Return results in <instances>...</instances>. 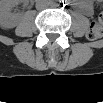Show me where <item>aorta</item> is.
Masks as SVG:
<instances>
[{"label": "aorta", "mask_w": 103, "mask_h": 103, "mask_svg": "<svg viewBox=\"0 0 103 103\" xmlns=\"http://www.w3.org/2000/svg\"><path fill=\"white\" fill-rule=\"evenodd\" d=\"M51 5H52V6H56L57 3H56V2H51Z\"/></svg>", "instance_id": "aorta-1"}]
</instances>
